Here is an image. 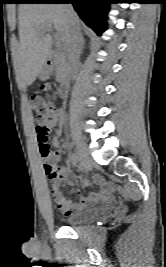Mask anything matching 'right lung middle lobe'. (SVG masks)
I'll return each instance as SVG.
<instances>
[{"label":"right lung middle lobe","instance_id":"right-lung-middle-lobe-1","mask_svg":"<svg viewBox=\"0 0 166 267\" xmlns=\"http://www.w3.org/2000/svg\"><path fill=\"white\" fill-rule=\"evenodd\" d=\"M26 1H30V0H18L17 3L26 2Z\"/></svg>","mask_w":166,"mask_h":267}]
</instances>
